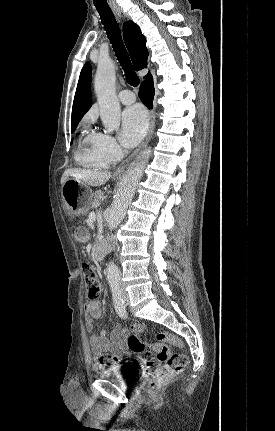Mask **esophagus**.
I'll list each match as a JSON object with an SVG mask.
<instances>
[{"instance_id": "34e87169", "label": "esophagus", "mask_w": 275, "mask_h": 431, "mask_svg": "<svg viewBox=\"0 0 275 431\" xmlns=\"http://www.w3.org/2000/svg\"><path fill=\"white\" fill-rule=\"evenodd\" d=\"M114 12L116 13V15L121 18V11L119 8H114L113 9ZM154 127H155V112L152 109L150 111V123H149V129L148 132L146 134V137L144 139V141L141 143V145L128 157L126 158L116 169L115 171V175H122L124 173V171L126 170V168L129 166L130 162L138 155V153L145 147L147 146V144L149 143V141L152 138L153 135V131H154Z\"/></svg>"}]
</instances>
